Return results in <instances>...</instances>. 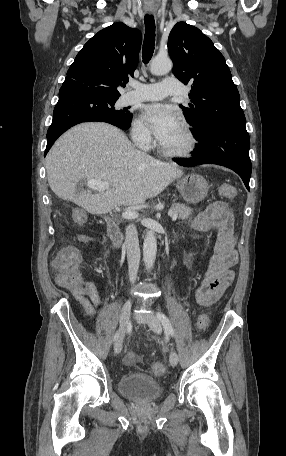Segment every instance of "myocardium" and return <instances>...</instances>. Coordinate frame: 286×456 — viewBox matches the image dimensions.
<instances>
[{
    "instance_id": "myocardium-1",
    "label": "myocardium",
    "mask_w": 286,
    "mask_h": 456,
    "mask_svg": "<svg viewBox=\"0 0 286 456\" xmlns=\"http://www.w3.org/2000/svg\"><path fill=\"white\" fill-rule=\"evenodd\" d=\"M180 127L188 140L187 145L181 150H169L160 144L159 150L165 156L172 158L188 157L196 150L198 146V137L192 127L187 123H181Z\"/></svg>"
}]
</instances>
